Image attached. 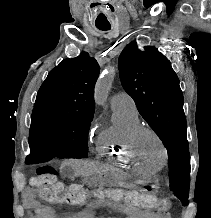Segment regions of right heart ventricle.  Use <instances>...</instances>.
Wrapping results in <instances>:
<instances>
[{
    "instance_id": "1",
    "label": "right heart ventricle",
    "mask_w": 211,
    "mask_h": 218,
    "mask_svg": "<svg viewBox=\"0 0 211 218\" xmlns=\"http://www.w3.org/2000/svg\"><path fill=\"white\" fill-rule=\"evenodd\" d=\"M139 125L141 120L137 110L114 108L112 124L98 134L94 154L104 157V162L109 165H119V169H137L131 155L130 135Z\"/></svg>"
}]
</instances>
